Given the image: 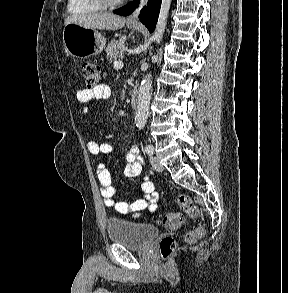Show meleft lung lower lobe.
<instances>
[{
    "label": "left lung lower lobe",
    "mask_w": 288,
    "mask_h": 293,
    "mask_svg": "<svg viewBox=\"0 0 288 293\" xmlns=\"http://www.w3.org/2000/svg\"><path fill=\"white\" fill-rule=\"evenodd\" d=\"M138 6L139 0H133L122 8L113 11V13L127 16L130 15ZM160 6L161 0H149L147 6L141 10L139 15L140 21L148 28L150 33H152L155 29L159 16Z\"/></svg>",
    "instance_id": "0a47b994"
}]
</instances>
